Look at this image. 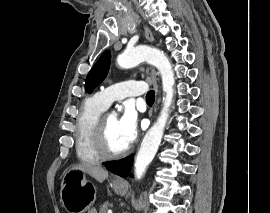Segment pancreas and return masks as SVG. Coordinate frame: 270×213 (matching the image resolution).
<instances>
[{
    "label": "pancreas",
    "mask_w": 270,
    "mask_h": 213,
    "mask_svg": "<svg viewBox=\"0 0 270 213\" xmlns=\"http://www.w3.org/2000/svg\"><path fill=\"white\" fill-rule=\"evenodd\" d=\"M109 206H111L108 202L102 204L99 208V213H107Z\"/></svg>",
    "instance_id": "cf45deb5"
}]
</instances>
